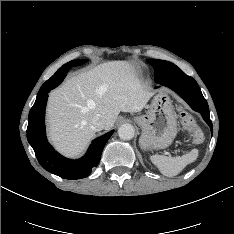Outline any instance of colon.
I'll return each instance as SVG.
<instances>
[{
    "label": "colon",
    "instance_id": "1",
    "mask_svg": "<svg viewBox=\"0 0 234 234\" xmlns=\"http://www.w3.org/2000/svg\"><path fill=\"white\" fill-rule=\"evenodd\" d=\"M179 113L182 125L191 135L193 142L196 144L202 143L204 140V134L198 127L194 118L182 106H179Z\"/></svg>",
    "mask_w": 234,
    "mask_h": 234
}]
</instances>
